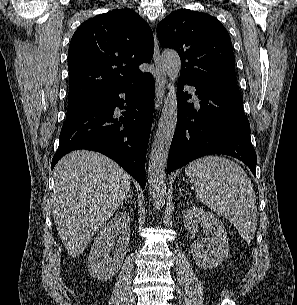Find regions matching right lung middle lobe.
<instances>
[{"label": "right lung middle lobe", "mask_w": 297, "mask_h": 305, "mask_svg": "<svg viewBox=\"0 0 297 305\" xmlns=\"http://www.w3.org/2000/svg\"><path fill=\"white\" fill-rule=\"evenodd\" d=\"M102 97H93V98H88L80 101H76L73 103H69L68 109H67V115L66 117H69L71 115H74L81 110L87 108L88 106L98 102Z\"/></svg>", "instance_id": "dd1d6c3e"}]
</instances>
